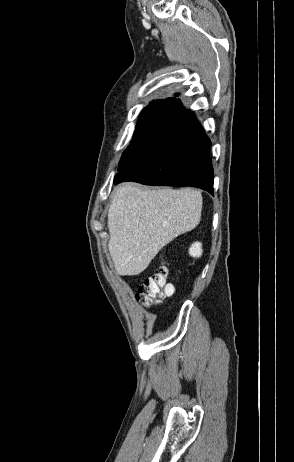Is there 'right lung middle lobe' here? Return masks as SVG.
<instances>
[{"label": "right lung middle lobe", "instance_id": "dd1d6c3e", "mask_svg": "<svg viewBox=\"0 0 294 462\" xmlns=\"http://www.w3.org/2000/svg\"><path fill=\"white\" fill-rule=\"evenodd\" d=\"M183 112L181 102L175 98L157 100L144 108L133 141L124 151L118 171L125 168L141 150L164 134Z\"/></svg>", "mask_w": 294, "mask_h": 462}]
</instances>
